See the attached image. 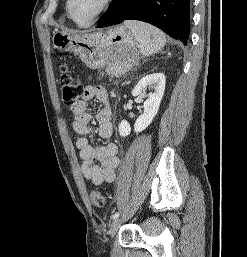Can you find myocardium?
Segmentation results:
<instances>
[{
    "instance_id": "myocardium-1",
    "label": "myocardium",
    "mask_w": 247,
    "mask_h": 257,
    "mask_svg": "<svg viewBox=\"0 0 247 257\" xmlns=\"http://www.w3.org/2000/svg\"><path fill=\"white\" fill-rule=\"evenodd\" d=\"M71 2H72V0H66V12H67L69 19L78 27L87 28V27L92 26L94 23H96L98 21V19L108 10V8L110 7V5L112 3V0H102L101 6L98 9V11L93 15V17L89 21H87L85 23L78 21L73 16V14L71 12Z\"/></svg>"
}]
</instances>
